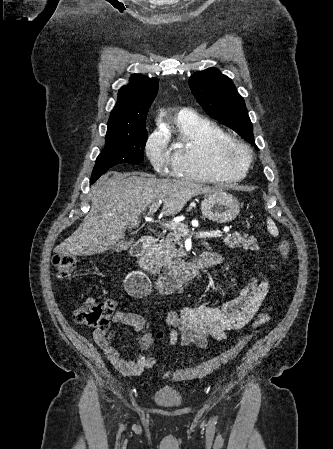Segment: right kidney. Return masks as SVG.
Listing matches in <instances>:
<instances>
[{
    "label": "right kidney",
    "mask_w": 333,
    "mask_h": 449,
    "mask_svg": "<svg viewBox=\"0 0 333 449\" xmlns=\"http://www.w3.org/2000/svg\"><path fill=\"white\" fill-rule=\"evenodd\" d=\"M129 280V285H127L126 289H130L134 284L139 283L140 291L139 294H147L150 291V281L148 277L142 272H133L127 276ZM148 280V281H147ZM131 290V289H130ZM129 290V291H130ZM131 293V291H130Z\"/></svg>",
    "instance_id": "right-kidney-1"
}]
</instances>
